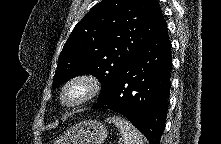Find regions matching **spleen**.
Masks as SVG:
<instances>
[{"label":"spleen","mask_w":221,"mask_h":144,"mask_svg":"<svg viewBox=\"0 0 221 144\" xmlns=\"http://www.w3.org/2000/svg\"><path fill=\"white\" fill-rule=\"evenodd\" d=\"M107 121L118 127L125 144H144L143 135L127 119L112 116Z\"/></svg>","instance_id":"obj_1"}]
</instances>
